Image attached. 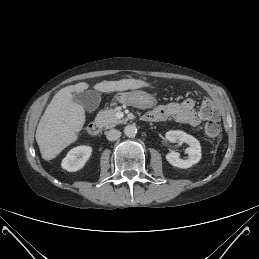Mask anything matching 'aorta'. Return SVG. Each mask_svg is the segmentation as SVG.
Wrapping results in <instances>:
<instances>
[{"label":"aorta","instance_id":"762f6f07","mask_svg":"<svg viewBox=\"0 0 259 259\" xmlns=\"http://www.w3.org/2000/svg\"><path fill=\"white\" fill-rule=\"evenodd\" d=\"M124 134L129 137H135L137 134V127L134 124L126 125L124 128Z\"/></svg>","mask_w":259,"mask_h":259}]
</instances>
